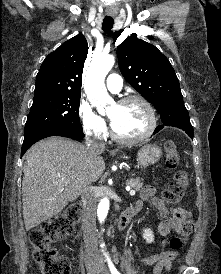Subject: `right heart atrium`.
Returning <instances> with one entry per match:
<instances>
[{"label": "right heart atrium", "instance_id": "obj_1", "mask_svg": "<svg viewBox=\"0 0 221 274\" xmlns=\"http://www.w3.org/2000/svg\"><path fill=\"white\" fill-rule=\"evenodd\" d=\"M80 118L84 133L93 139L101 140L106 135V124L87 102L80 105Z\"/></svg>", "mask_w": 221, "mask_h": 274}]
</instances>
